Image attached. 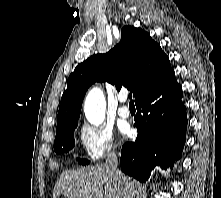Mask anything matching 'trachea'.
Segmentation results:
<instances>
[{
  "label": "trachea",
  "mask_w": 221,
  "mask_h": 198,
  "mask_svg": "<svg viewBox=\"0 0 221 198\" xmlns=\"http://www.w3.org/2000/svg\"><path fill=\"white\" fill-rule=\"evenodd\" d=\"M128 97H129V99L131 100L130 104H133L134 102H133V100H132V93H130V94L128 95Z\"/></svg>",
  "instance_id": "3493384b"
}]
</instances>
